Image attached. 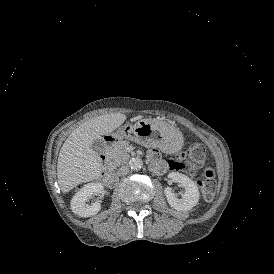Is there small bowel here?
I'll return each instance as SVG.
<instances>
[{
	"instance_id": "obj_1",
	"label": "small bowel",
	"mask_w": 274,
	"mask_h": 274,
	"mask_svg": "<svg viewBox=\"0 0 274 274\" xmlns=\"http://www.w3.org/2000/svg\"><path fill=\"white\" fill-rule=\"evenodd\" d=\"M148 160H149L154 172L157 174H160L158 171V168H157V164L161 160L159 153L154 149L150 150L148 153Z\"/></svg>"
}]
</instances>
